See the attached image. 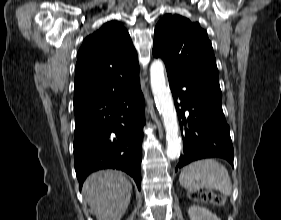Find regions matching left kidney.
Here are the masks:
<instances>
[{
	"label": "left kidney",
	"mask_w": 281,
	"mask_h": 220,
	"mask_svg": "<svg viewBox=\"0 0 281 220\" xmlns=\"http://www.w3.org/2000/svg\"><path fill=\"white\" fill-rule=\"evenodd\" d=\"M190 220H221L208 209L199 205H192L188 210Z\"/></svg>",
	"instance_id": "5707ae66"
}]
</instances>
